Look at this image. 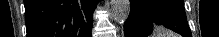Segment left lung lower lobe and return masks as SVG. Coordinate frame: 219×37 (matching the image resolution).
Returning a JSON list of instances; mask_svg holds the SVG:
<instances>
[{"label":"left lung lower lobe","mask_w":219,"mask_h":37,"mask_svg":"<svg viewBox=\"0 0 219 37\" xmlns=\"http://www.w3.org/2000/svg\"><path fill=\"white\" fill-rule=\"evenodd\" d=\"M156 25L192 37L181 4L174 0H131V11L124 24L125 37H147Z\"/></svg>","instance_id":"0a47b994"}]
</instances>
